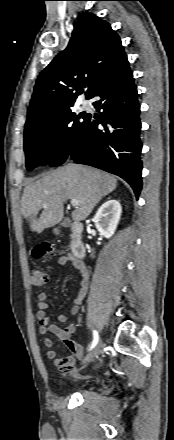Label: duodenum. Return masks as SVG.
<instances>
[{
  "label": "duodenum",
  "mask_w": 174,
  "mask_h": 440,
  "mask_svg": "<svg viewBox=\"0 0 174 440\" xmlns=\"http://www.w3.org/2000/svg\"><path fill=\"white\" fill-rule=\"evenodd\" d=\"M83 224L74 223L71 227L70 249L72 255L80 262L81 267L85 269L82 260L86 255L85 244L82 239Z\"/></svg>",
  "instance_id": "410a0bca"
}]
</instances>
